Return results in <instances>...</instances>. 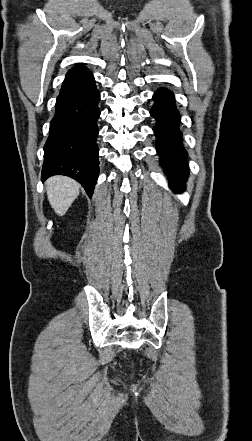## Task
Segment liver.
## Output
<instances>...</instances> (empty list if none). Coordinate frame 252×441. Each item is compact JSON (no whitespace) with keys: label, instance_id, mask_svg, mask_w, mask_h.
Segmentation results:
<instances>
[{"label":"liver","instance_id":"6515ba94","mask_svg":"<svg viewBox=\"0 0 252 441\" xmlns=\"http://www.w3.org/2000/svg\"><path fill=\"white\" fill-rule=\"evenodd\" d=\"M47 196L56 214L63 216L80 192V184L65 176H53L45 182Z\"/></svg>","mask_w":252,"mask_h":441}]
</instances>
